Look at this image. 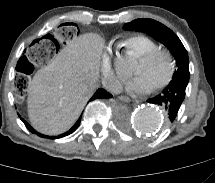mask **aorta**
<instances>
[{"label":"aorta","mask_w":215,"mask_h":183,"mask_svg":"<svg viewBox=\"0 0 215 183\" xmlns=\"http://www.w3.org/2000/svg\"><path fill=\"white\" fill-rule=\"evenodd\" d=\"M133 61L128 56L120 57L115 65L120 71L131 68ZM164 122L162 111L156 107L146 106L138 109L133 116L134 128L142 133L152 134L158 131Z\"/></svg>","instance_id":"aorta-1"}]
</instances>
